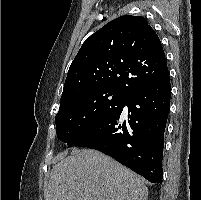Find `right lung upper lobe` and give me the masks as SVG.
Returning <instances> with one entry per match:
<instances>
[{
  "label": "right lung upper lobe",
  "instance_id": "right-lung-upper-lobe-1",
  "mask_svg": "<svg viewBox=\"0 0 201 200\" xmlns=\"http://www.w3.org/2000/svg\"><path fill=\"white\" fill-rule=\"evenodd\" d=\"M167 72L160 39L148 21L124 15L83 43L69 68L60 103L94 91L128 96Z\"/></svg>",
  "mask_w": 201,
  "mask_h": 200
}]
</instances>
